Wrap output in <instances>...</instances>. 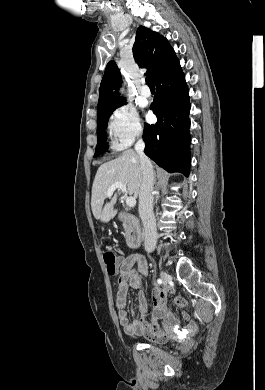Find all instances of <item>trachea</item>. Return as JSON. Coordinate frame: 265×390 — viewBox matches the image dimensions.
<instances>
[{
	"label": "trachea",
	"mask_w": 265,
	"mask_h": 390,
	"mask_svg": "<svg viewBox=\"0 0 265 390\" xmlns=\"http://www.w3.org/2000/svg\"><path fill=\"white\" fill-rule=\"evenodd\" d=\"M145 80H146V84H147L149 87H154V83H153V81H152V79H151L150 76H147Z\"/></svg>",
	"instance_id": "obj_1"
}]
</instances>
